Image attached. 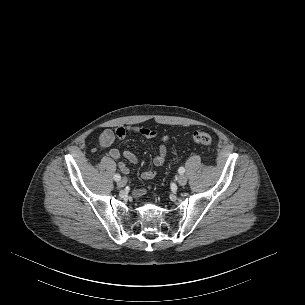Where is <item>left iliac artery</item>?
I'll return each mask as SVG.
<instances>
[{"label": "left iliac artery", "instance_id": "obj_1", "mask_svg": "<svg viewBox=\"0 0 305 305\" xmlns=\"http://www.w3.org/2000/svg\"><path fill=\"white\" fill-rule=\"evenodd\" d=\"M178 172H179V174H184V172H185L184 167H180V168L178 169Z\"/></svg>", "mask_w": 305, "mask_h": 305}]
</instances>
